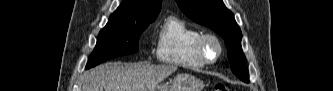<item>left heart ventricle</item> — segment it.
<instances>
[{
    "mask_svg": "<svg viewBox=\"0 0 333 91\" xmlns=\"http://www.w3.org/2000/svg\"><path fill=\"white\" fill-rule=\"evenodd\" d=\"M217 53V48L213 43L208 44L207 54L209 57L213 58Z\"/></svg>",
    "mask_w": 333,
    "mask_h": 91,
    "instance_id": "1",
    "label": "left heart ventricle"
}]
</instances>
